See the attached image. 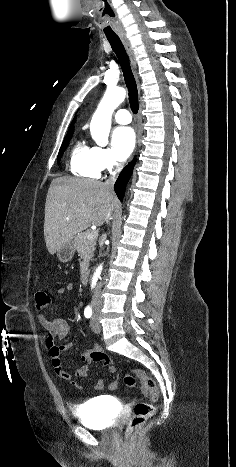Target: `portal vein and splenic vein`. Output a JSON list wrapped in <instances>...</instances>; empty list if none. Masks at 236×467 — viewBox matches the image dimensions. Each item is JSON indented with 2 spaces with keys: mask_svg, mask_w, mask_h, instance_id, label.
<instances>
[{
  "mask_svg": "<svg viewBox=\"0 0 236 467\" xmlns=\"http://www.w3.org/2000/svg\"><path fill=\"white\" fill-rule=\"evenodd\" d=\"M98 236V231L97 230H92L91 232H89L87 234V239H93V238H96Z\"/></svg>",
  "mask_w": 236,
  "mask_h": 467,
  "instance_id": "obj_1",
  "label": "portal vein and splenic vein"
}]
</instances>
